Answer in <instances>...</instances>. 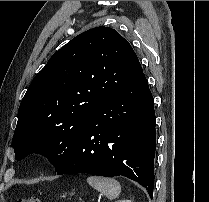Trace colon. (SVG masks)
<instances>
[{
  "mask_svg": "<svg viewBox=\"0 0 209 202\" xmlns=\"http://www.w3.org/2000/svg\"><path fill=\"white\" fill-rule=\"evenodd\" d=\"M16 202H41V201L36 197H27V198L19 199Z\"/></svg>",
  "mask_w": 209,
  "mask_h": 202,
  "instance_id": "obj_1",
  "label": "colon"
}]
</instances>
